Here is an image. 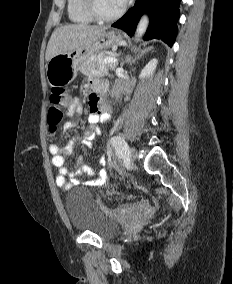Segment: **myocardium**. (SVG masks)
Instances as JSON below:
<instances>
[{"instance_id":"f54148a6","label":"myocardium","mask_w":233,"mask_h":284,"mask_svg":"<svg viewBox=\"0 0 233 284\" xmlns=\"http://www.w3.org/2000/svg\"><path fill=\"white\" fill-rule=\"evenodd\" d=\"M86 1V8L88 12L92 15V17L99 21H112L119 18L125 11V7L121 6L117 11L114 13H104L100 7L98 0H85Z\"/></svg>"}]
</instances>
